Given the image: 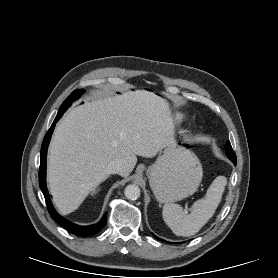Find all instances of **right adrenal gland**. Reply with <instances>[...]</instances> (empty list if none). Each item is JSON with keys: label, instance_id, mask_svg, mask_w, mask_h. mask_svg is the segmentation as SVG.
Returning <instances> with one entry per match:
<instances>
[{"label": "right adrenal gland", "instance_id": "right-adrenal-gland-1", "mask_svg": "<svg viewBox=\"0 0 278 278\" xmlns=\"http://www.w3.org/2000/svg\"><path fill=\"white\" fill-rule=\"evenodd\" d=\"M98 190H99V189H98ZM98 190H94V191L92 192V194H96V192H97Z\"/></svg>", "mask_w": 278, "mask_h": 278}]
</instances>
